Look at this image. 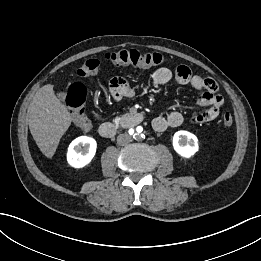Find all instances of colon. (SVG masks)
Here are the masks:
<instances>
[{
	"instance_id": "colon-1",
	"label": "colon",
	"mask_w": 261,
	"mask_h": 261,
	"mask_svg": "<svg viewBox=\"0 0 261 261\" xmlns=\"http://www.w3.org/2000/svg\"><path fill=\"white\" fill-rule=\"evenodd\" d=\"M105 59L115 65H133L136 67H151L162 64L165 58L156 52H140L135 49L119 50L105 54ZM100 66L98 59H88L80 63L77 74L86 78L97 73ZM86 88L83 84L76 82L70 85L67 90L65 103L72 112L75 124L82 130H88L91 126L90 120L85 112ZM222 123L225 128L233 124V115L226 111L222 116Z\"/></svg>"
}]
</instances>
